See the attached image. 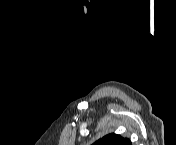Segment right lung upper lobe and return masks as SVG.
<instances>
[{
  "instance_id": "obj_1",
  "label": "right lung upper lobe",
  "mask_w": 176,
  "mask_h": 145,
  "mask_svg": "<svg viewBox=\"0 0 176 145\" xmlns=\"http://www.w3.org/2000/svg\"><path fill=\"white\" fill-rule=\"evenodd\" d=\"M93 145H131V142L120 135L109 134L96 141Z\"/></svg>"
}]
</instances>
